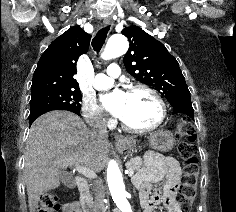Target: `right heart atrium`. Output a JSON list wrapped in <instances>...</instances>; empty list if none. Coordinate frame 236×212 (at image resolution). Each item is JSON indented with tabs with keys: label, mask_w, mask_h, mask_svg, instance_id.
<instances>
[{
	"label": "right heart atrium",
	"mask_w": 236,
	"mask_h": 212,
	"mask_svg": "<svg viewBox=\"0 0 236 212\" xmlns=\"http://www.w3.org/2000/svg\"><path fill=\"white\" fill-rule=\"evenodd\" d=\"M81 109L83 117L88 125L94 128H105L110 125V119L94 97H84Z\"/></svg>",
	"instance_id": "1"
}]
</instances>
